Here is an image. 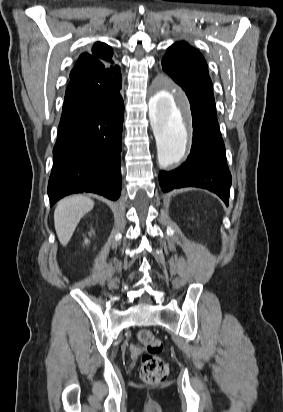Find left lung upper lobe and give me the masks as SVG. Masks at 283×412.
Instances as JSON below:
<instances>
[{
  "label": "left lung upper lobe",
  "instance_id": "left-lung-upper-lobe-1",
  "mask_svg": "<svg viewBox=\"0 0 283 412\" xmlns=\"http://www.w3.org/2000/svg\"><path fill=\"white\" fill-rule=\"evenodd\" d=\"M163 70L176 82L183 79L195 88L213 95L205 59L199 51L185 42L175 43L167 49L162 59Z\"/></svg>",
  "mask_w": 283,
  "mask_h": 412
}]
</instances>
